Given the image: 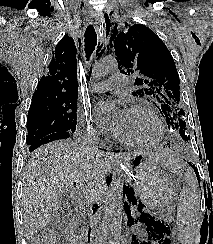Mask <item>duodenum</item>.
Returning a JSON list of instances; mask_svg holds the SVG:
<instances>
[{
  "mask_svg": "<svg viewBox=\"0 0 213 244\" xmlns=\"http://www.w3.org/2000/svg\"><path fill=\"white\" fill-rule=\"evenodd\" d=\"M88 220H92V219H94V220H97V219H99V216H98V214H97V212L95 211V209H91L90 210V212H89V214H88V216L86 217ZM96 234V232H95V230L94 229H91L90 230V232H89V243L88 244H94L93 242H92V237L94 236Z\"/></svg>",
  "mask_w": 213,
  "mask_h": 244,
  "instance_id": "1",
  "label": "duodenum"
}]
</instances>
